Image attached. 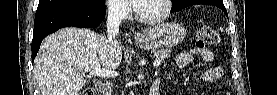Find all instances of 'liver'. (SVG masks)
Here are the masks:
<instances>
[{"mask_svg": "<svg viewBox=\"0 0 277 95\" xmlns=\"http://www.w3.org/2000/svg\"><path fill=\"white\" fill-rule=\"evenodd\" d=\"M122 49L110 52L107 38L84 28L67 27L47 36L35 58L34 77L41 95H77L83 73L120 64Z\"/></svg>", "mask_w": 277, "mask_h": 95, "instance_id": "6515ba94", "label": "liver"}]
</instances>
